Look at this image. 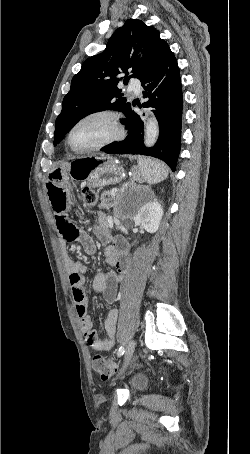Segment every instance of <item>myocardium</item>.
<instances>
[{"label": "myocardium", "mask_w": 250, "mask_h": 454, "mask_svg": "<svg viewBox=\"0 0 250 454\" xmlns=\"http://www.w3.org/2000/svg\"><path fill=\"white\" fill-rule=\"evenodd\" d=\"M100 117L106 118L110 122V124L112 126V134L109 137H107L106 139H104L92 146H89L86 148H81V149L73 147L71 144V137H72V134L75 131V129L77 127H79L81 124H83L89 120H92L94 118H100ZM123 136H124V129L120 123L118 114L112 110L99 109V110H95V111H92V112H89V113L83 115L70 127V129L67 133V136H66V143H67V146L69 147V149L71 151H73L74 153L87 154V153H91V152H95V151L104 149V148L116 143L117 141L121 140L123 138Z\"/></svg>", "instance_id": "f54148a6"}]
</instances>
